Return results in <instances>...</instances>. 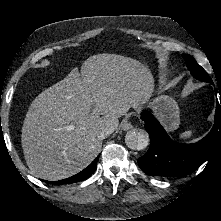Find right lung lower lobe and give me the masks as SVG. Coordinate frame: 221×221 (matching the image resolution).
I'll use <instances>...</instances> for the list:
<instances>
[{"mask_svg":"<svg viewBox=\"0 0 221 221\" xmlns=\"http://www.w3.org/2000/svg\"><path fill=\"white\" fill-rule=\"evenodd\" d=\"M98 160H99V156H97L95 160L87 168H85L83 171L79 172L78 174L72 177L59 180V181H46V182L55 184V185H64V184H71V183L82 181L88 178L96 170Z\"/></svg>","mask_w":221,"mask_h":221,"instance_id":"obj_1","label":"right lung lower lobe"}]
</instances>
